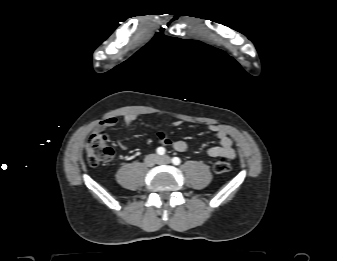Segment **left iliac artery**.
<instances>
[{
  "label": "left iliac artery",
  "instance_id": "left-iliac-artery-1",
  "mask_svg": "<svg viewBox=\"0 0 337 261\" xmlns=\"http://www.w3.org/2000/svg\"><path fill=\"white\" fill-rule=\"evenodd\" d=\"M172 163H173L174 165H179V164L181 163V160H180L179 157H173V158H172Z\"/></svg>",
  "mask_w": 337,
  "mask_h": 261
}]
</instances>
